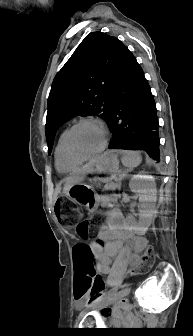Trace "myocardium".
<instances>
[{"mask_svg": "<svg viewBox=\"0 0 193 336\" xmlns=\"http://www.w3.org/2000/svg\"><path fill=\"white\" fill-rule=\"evenodd\" d=\"M85 123H91V124H95L97 125L103 132L104 134V141L101 145V147L91 153V154H80L77 153L73 150L72 146H71V135L73 133V131L79 127L82 124ZM109 142V130L106 127V125L99 119H95V118H91V117H87V118H82L78 121H76L72 126H70L64 134V141H63V147H64V152L65 155L68 157V159L72 160V161H85V160H89L91 158H94L98 155H100L107 147Z\"/></svg>", "mask_w": 193, "mask_h": 336, "instance_id": "myocardium-1", "label": "myocardium"}]
</instances>
